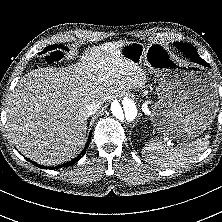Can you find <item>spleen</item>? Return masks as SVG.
<instances>
[{
    "label": "spleen",
    "instance_id": "spleen-1",
    "mask_svg": "<svg viewBox=\"0 0 222 222\" xmlns=\"http://www.w3.org/2000/svg\"><path fill=\"white\" fill-rule=\"evenodd\" d=\"M207 136L191 142H182L172 147L161 139L150 140L142 149L145 160L162 168L183 167L195 162L207 149Z\"/></svg>",
    "mask_w": 222,
    "mask_h": 222
}]
</instances>
